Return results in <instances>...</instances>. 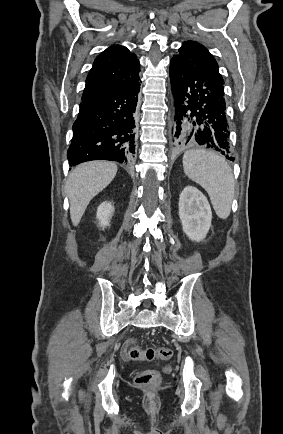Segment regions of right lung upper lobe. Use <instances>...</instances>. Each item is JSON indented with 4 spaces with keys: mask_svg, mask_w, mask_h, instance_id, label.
<instances>
[{
    "mask_svg": "<svg viewBox=\"0 0 283 434\" xmlns=\"http://www.w3.org/2000/svg\"><path fill=\"white\" fill-rule=\"evenodd\" d=\"M140 63L134 53L112 45L100 53L86 78L81 100L121 90L139 79Z\"/></svg>",
    "mask_w": 283,
    "mask_h": 434,
    "instance_id": "obj_1",
    "label": "right lung upper lobe"
}]
</instances>
